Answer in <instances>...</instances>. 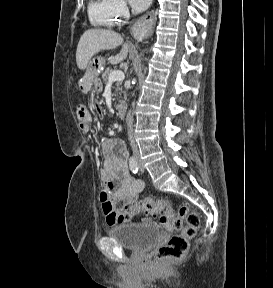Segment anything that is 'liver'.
Masks as SVG:
<instances>
[{"label": "liver", "mask_w": 273, "mask_h": 288, "mask_svg": "<svg viewBox=\"0 0 273 288\" xmlns=\"http://www.w3.org/2000/svg\"><path fill=\"white\" fill-rule=\"evenodd\" d=\"M122 45L119 54L114 56L110 63L115 65L127 58L129 52L128 43L123 44L120 34L106 29H89L81 36L77 51L76 63L80 70L86 69L90 59L100 51L115 49Z\"/></svg>", "instance_id": "obj_1"}]
</instances>
